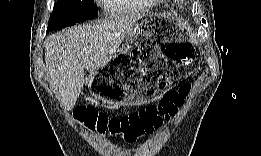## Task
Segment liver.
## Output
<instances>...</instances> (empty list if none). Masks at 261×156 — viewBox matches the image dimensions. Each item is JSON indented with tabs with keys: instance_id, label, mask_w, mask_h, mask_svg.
<instances>
[{
	"instance_id": "6515ba94",
	"label": "liver",
	"mask_w": 261,
	"mask_h": 156,
	"mask_svg": "<svg viewBox=\"0 0 261 156\" xmlns=\"http://www.w3.org/2000/svg\"><path fill=\"white\" fill-rule=\"evenodd\" d=\"M140 15L110 16L50 35L45 41V63L50 83L59 89L60 103L71 110L86 81L118 51Z\"/></svg>"
}]
</instances>
